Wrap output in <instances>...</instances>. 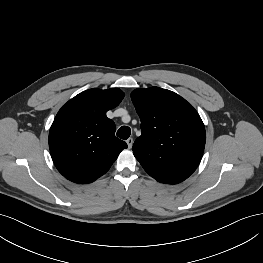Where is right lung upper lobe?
Returning a JSON list of instances; mask_svg holds the SVG:
<instances>
[{
    "label": "right lung upper lobe",
    "mask_w": 263,
    "mask_h": 263,
    "mask_svg": "<svg viewBox=\"0 0 263 263\" xmlns=\"http://www.w3.org/2000/svg\"><path fill=\"white\" fill-rule=\"evenodd\" d=\"M124 98L118 88L89 89L69 100L49 132L52 160L68 180L87 184L105 174L127 144L115 136L106 112Z\"/></svg>",
    "instance_id": "right-lung-upper-lobe-1"
}]
</instances>
